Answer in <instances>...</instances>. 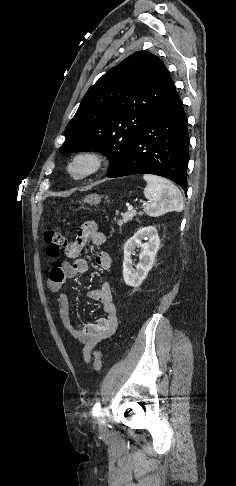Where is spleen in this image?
<instances>
[{"label":"spleen","mask_w":236,"mask_h":486,"mask_svg":"<svg viewBox=\"0 0 236 486\" xmlns=\"http://www.w3.org/2000/svg\"><path fill=\"white\" fill-rule=\"evenodd\" d=\"M147 182L144 195L148 203L144 211L150 216L162 215L166 212H181L184 209V201L180 190L170 181L152 174L143 176Z\"/></svg>","instance_id":"obj_1"}]
</instances>
